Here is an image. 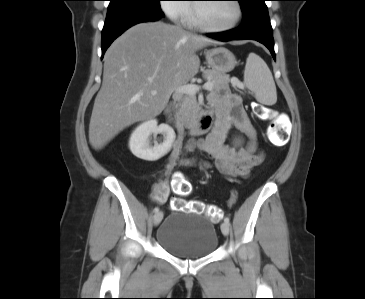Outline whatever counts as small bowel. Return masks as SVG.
I'll list each match as a JSON object with an SVG mask.
<instances>
[{"instance_id":"small-bowel-1","label":"small bowel","mask_w":365,"mask_h":299,"mask_svg":"<svg viewBox=\"0 0 365 299\" xmlns=\"http://www.w3.org/2000/svg\"><path fill=\"white\" fill-rule=\"evenodd\" d=\"M210 99L216 108L214 129L205 139L190 142L189 149L203 150L215 161L216 168L225 175L246 177L253 168L263 162L264 153L258 149L257 134L242 108V100L234 93L220 95L218 92H213ZM232 127L247 136L246 146L234 149L225 144L227 132ZM174 166L175 159L172 158L165 166L163 177L155 185L153 198L159 203L166 201L169 196L170 188L166 176Z\"/></svg>"}]
</instances>
